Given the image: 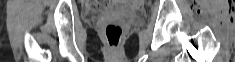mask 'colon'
Instances as JSON below:
<instances>
[{
  "mask_svg": "<svg viewBox=\"0 0 235 62\" xmlns=\"http://www.w3.org/2000/svg\"><path fill=\"white\" fill-rule=\"evenodd\" d=\"M122 33H123V29L121 25L116 24V23L108 24L105 29V36H106L108 44L111 47H117L120 42Z\"/></svg>",
  "mask_w": 235,
  "mask_h": 62,
  "instance_id": "5ec220e1",
  "label": "colon"
}]
</instances>
